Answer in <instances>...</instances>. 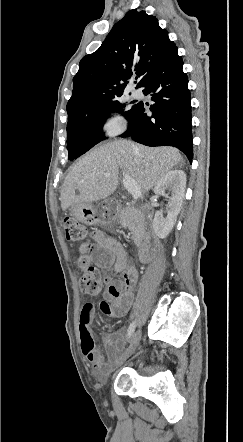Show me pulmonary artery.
I'll use <instances>...</instances> for the list:
<instances>
[{
	"label": "pulmonary artery",
	"mask_w": 243,
	"mask_h": 442,
	"mask_svg": "<svg viewBox=\"0 0 243 442\" xmlns=\"http://www.w3.org/2000/svg\"><path fill=\"white\" fill-rule=\"evenodd\" d=\"M132 96H133V98H135V99H139V98L142 97V92L139 91V90L134 89V90L132 91Z\"/></svg>",
	"instance_id": "obj_1"
}]
</instances>
